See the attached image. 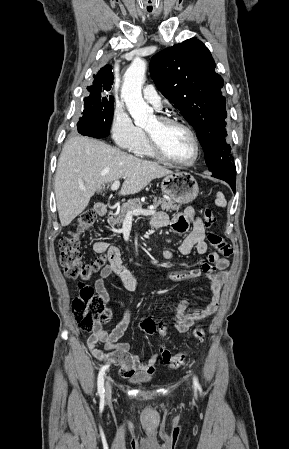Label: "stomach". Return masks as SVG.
Masks as SVG:
<instances>
[{
	"instance_id": "stomach-1",
	"label": "stomach",
	"mask_w": 289,
	"mask_h": 449,
	"mask_svg": "<svg viewBox=\"0 0 289 449\" xmlns=\"http://www.w3.org/2000/svg\"><path fill=\"white\" fill-rule=\"evenodd\" d=\"M163 194L179 204L192 202L199 193L195 178L187 172H172L161 182Z\"/></svg>"
}]
</instances>
